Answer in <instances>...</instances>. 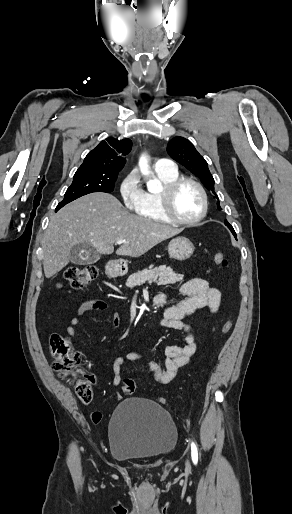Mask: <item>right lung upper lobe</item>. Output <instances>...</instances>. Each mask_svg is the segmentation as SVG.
Masks as SVG:
<instances>
[{
    "label": "right lung upper lobe",
    "instance_id": "1",
    "mask_svg": "<svg viewBox=\"0 0 292 514\" xmlns=\"http://www.w3.org/2000/svg\"><path fill=\"white\" fill-rule=\"evenodd\" d=\"M106 140L87 154L75 175L117 177L126 162L124 156L131 151L132 142L130 139Z\"/></svg>",
    "mask_w": 292,
    "mask_h": 514
}]
</instances>
